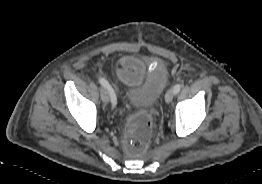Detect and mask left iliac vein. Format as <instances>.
Segmentation results:
<instances>
[{"label": "left iliac vein", "mask_w": 262, "mask_h": 184, "mask_svg": "<svg viewBox=\"0 0 262 184\" xmlns=\"http://www.w3.org/2000/svg\"><path fill=\"white\" fill-rule=\"evenodd\" d=\"M174 90L173 89H169L166 94H165V102L166 103H170L174 97Z\"/></svg>", "instance_id": "obj_1"}]
</instances>
